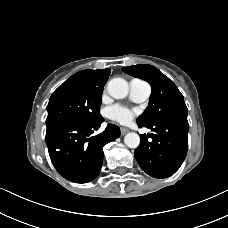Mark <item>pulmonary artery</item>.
Returning <instances> with one entry per match:
<instances>
[{"label": "pulmonary artery", "instance_id": "1", "mask_svg": "<svg viewBox=\"0 0 228 228\" xmlns=\"http://www.w3.org/2000/svg\"><path fill=\"white\" fill-rule=\"evenodd\" d=\"M129 89L130 99L137 103L146 101L151 95V86L141 79H132L129 82Z\"/></svg>", "mask_w": 228, "mask_h": 228}]
</instances>
